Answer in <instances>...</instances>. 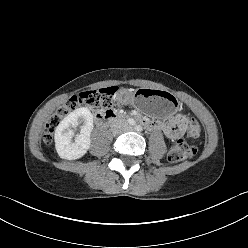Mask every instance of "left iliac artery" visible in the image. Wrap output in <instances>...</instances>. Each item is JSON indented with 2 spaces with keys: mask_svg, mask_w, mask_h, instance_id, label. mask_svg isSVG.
<instances>
[{
  "mask_svg": "<svg viewBox=\"0 0 248 248\" xmlns=\"http://www.w3.org/2000/svg\"><path fill=\"white\" fill-rule=\"evenodd\" d=\"M135 129H136L137 131H141V130H142V127L138 125V126L135 127Z\"/></svg>",
  "mask_w": 248,
  "mask_h": 248,
  "instance_id": "44dca946",
  "label": "left iliac artery"
}]
</instances>
